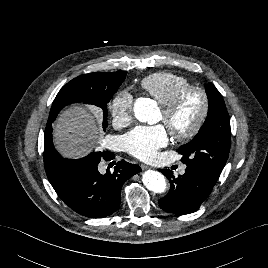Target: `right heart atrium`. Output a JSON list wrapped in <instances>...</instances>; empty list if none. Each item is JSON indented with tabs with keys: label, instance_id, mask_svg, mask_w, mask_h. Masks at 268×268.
Masks as SVG:
<instances>
[{
	"label": "right heart atrium",
	"instance_id": "right-heart-atrium-1",
	"mask_svg": "<svg viewBox=\"0 0 268 268\" xmlns=\"http://www.w3.org/2000/svg\"><path fill=\"white\" fill-rule=\"evenodd\" d=\"M110 112L113 121L127 125L133 119V95L128 89L120 90L112 99Z\"/></svg>",
	"mask_w": 268,
	"mask_h": 268
}]
</instances>
